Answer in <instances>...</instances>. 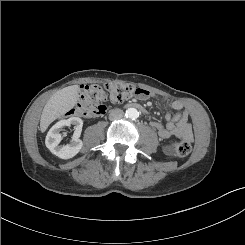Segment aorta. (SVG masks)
Instances as JSON below:
<instances>
[{
    "mask_svg": "<svg viewBox=\"0 0 245 245\" xmlns=\"http://www.w3.org/2000/svg\"><path fill=\"white\" fill-rule=\"evenodd\" d=\"M139 116V112L135 108H128L126 110V117L129 119H136Z\"/></svg>",
    "mask_w": 245,
    "mask_h": 245,
    "instance_id": "obj_1",
    "label": "aorta"
}]
</instances>
